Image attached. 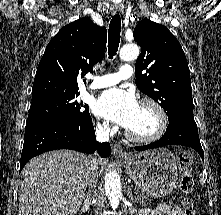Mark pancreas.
Wrapping results in <instances>:
<instances>
[{
    "label": "pancreas",
    "instance_id": "obj_1",
    "mask_svg": "<svg viewBox=\"0 0 221 215\" xmlns=\"http://www.w3.org/2000/svg\"><path fill=\"white\" fill-rule=\"evenodd\" d=\"M138 196H139L138 201L140 202V204L142 206H146V205H148L150 203V200H149V198L147 196H144L142 194H140Z\"/></svg>",
    "mask_w": 221,
    "mask_h": 215
}]
</instances>
